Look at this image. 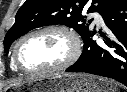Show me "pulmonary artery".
Segmentation results:
<instances>
[{"mask_svg": "<svg viewBox=\"0 0 127 92\" xmlns=\"http://www.w3.org/2000/svg\"><path fill=\"white\" fill-rule=\"evenodd\" d=\"M92 18L94 19V22L98 25H102L104 23L103 18L99 13H93Z\"/></svg>", "mask_w": 127, "mask_h": 92, "instance_id": "pulmonary-artery-1", "label": "pulmonary artery"}]
</instances>
